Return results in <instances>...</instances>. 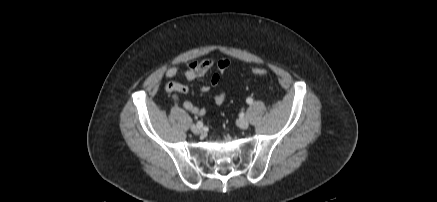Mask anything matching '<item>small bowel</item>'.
I'll use <instances>...</instances> for the list:
<instances>
[{
  "label": "small bowel",
  "instance_id": "c3829d8e",
  "mask_svg": "<svg viewBox=\"0 0 437 202\" xmlns=\"http://www.w3.org/2000/svg\"><path fill=\"white\" fill-rule=\"evenodd\" d=\"M230 66V61L226 58L215 61L211 58L204 59L202 61H191L188 63L185 69H179L177 67H169L165 71L167 78L173 79L179 76L184 77L189 84H183L176 81H169L165 84L164 88L168 93L172 94V97L178 103H181L182 107L190 113L197 116H204L209 111L206 108L196 106L190 101H182L179 98V94H186L190 91V83L196 79L203 77L211 69L216 67V72L210 77L209 84L201 86L203 93L209 92L213 87L217 86L220 80V73L227 70ZM227 94L225 91L216 92L214 94V102L217 105H221L225 102Z\"/></svg>",
  "mask_w": 437,
  "mask_h": 202
}]
</instances>
